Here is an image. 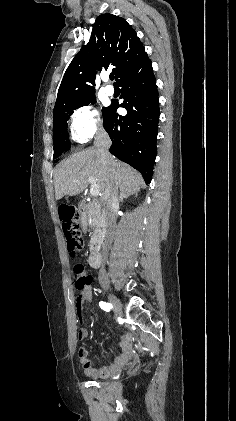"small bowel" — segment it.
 Returning a JSON list of instances; mask_svg holds the SVG:
<instances>
[{
	"mask_svg": "<svg viewBox=\"0 0 236 421\" xmlns=\"http://www.w3.org/2000/svg\"><path fill=\"white\" fill-rule=\"evenodd\" d=\"M92 298H93L92 291L88 287L86 290H84L80 294V296L78 298V303H77L78 310L81 309V307L84 304L90 303L92 301ZM86 335H87L86 330H80V332H79V338H84ZM128 346H129V344H128ZM79 357H80V360H81L82 365L84 366V368L88 372L90 363H89V360L87 359L86 351L84 350V354L82 356L79 355Z\"/></svg>",
	"mask_w": 236,
	"mask_h": 421,
	"instance_id": "obj_1",
	"label": "small bowel"
}]
</instances>
